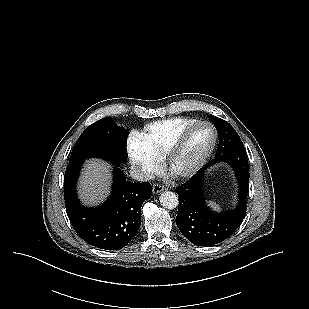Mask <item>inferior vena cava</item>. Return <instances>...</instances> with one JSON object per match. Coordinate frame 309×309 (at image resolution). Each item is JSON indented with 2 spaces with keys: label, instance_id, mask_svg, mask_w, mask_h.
I'll use <instances>...</instances> for the list:
<instances>
[{
  "label": "inferior vena cava",
  "instance_id": "602c4592",
  "mask_svg": "<svg viewBox=\"0 0 309 309\" xmlns=\"http://www.w3.org/2000/svg\"><path fill=\"white\" fill-rule=\"evenodd\" d=\"M130 174L132 178H134L137 181H141V182L148 181L152 178V176L149 173L137 167H132Z\"/></svg>",
  "mask_w": 309,
  "mask_h": 309
}]
</instances>
